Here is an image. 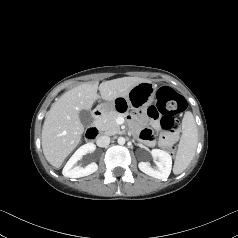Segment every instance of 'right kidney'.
Segmentation results:
<instances>
[{"label": "right kidney", "mask_w": 238, "mask_h": 238, "mask_svg": "<svg viewBox=\"0 0 238 238\" xmlns=\"http://www.w3.org/2000/svg\"><path fill=\"white\" fill-rule=\"evenodd\" d=\"M94 150L95 147L91 143H87L81 146L79 149H77L76 152L69 159V161L66 163L65 167L63 168L62 171L63 175L69 178H80L90 175L95 171H97L98 165L94 162L87 165L85 168L81 166H75L77 161L80 160L83 157V155L89 152H93Z\"/></svg>", "instance_id": "ca27d5eb"}]
</instances>
